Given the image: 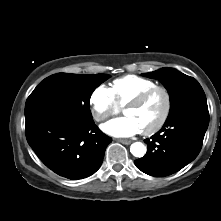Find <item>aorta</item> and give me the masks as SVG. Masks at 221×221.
I'll return each mask as SVG.
<instances>
[{
  "label": "aorta",
  "mask_w": 221,
  "mask_h": 221,
  "mask_svg": "<svg viewBox=\"0 0 221 221\" xmlns=\"http://www.w3.org/2000/svg\"><path fill=\"white\" fill-rule=\"evenodd\" d=\"M130 152L133 156L141 158L146 153V147L141 142H135L130 146Z\"/></svg>",
  "instance_id": "762f6f07"
}]
</instances>
